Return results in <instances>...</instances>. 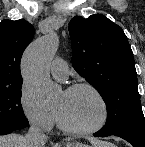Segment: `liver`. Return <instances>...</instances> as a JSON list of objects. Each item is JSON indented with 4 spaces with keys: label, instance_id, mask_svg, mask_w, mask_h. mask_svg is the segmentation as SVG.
<instances>
[{
    "label": "liver",
    "instance_id": "1",
    "mask_svg": "<svg viewBox=\"0 0 145 147\" xmlns=\"http://www.w3.org/2000/svg\"><path fill=\"white\" fill-rule=\"evenodd\" d=\"M94 147H115L110 143L100 142L95 139H89ZM0 147H28L25 137L10 134L6 136H0Z\"/></svg>",
    "mask_w": 145,
    "mask_h": 147
}]
</instances>
